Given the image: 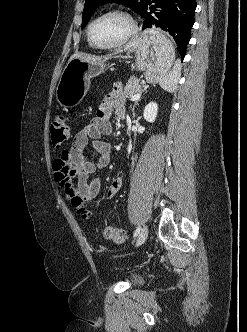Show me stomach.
<instances>
[{
  "label": "stomach",
  "instance_id": "0dacf381",
  "mask_svg": "<svg viewBox=\"0 0 247 332\" xmlns=\"http://www.w3.org/2000/svg\"><path fill=\"white\" fill-rule=\"evenodd\" d=\"M128 53H135L136 67L145 71L149 82H158L168 74L175 60V50L171 41L154 28L141 32L125 47ZM106 64L88 62L79 58L68 61L57 88L56 99L64 109L80 104L90 87V79L104 72Z\"/></svg>",
  "mask_w": 247,
  "mask_h": 332
}]
</instances>
